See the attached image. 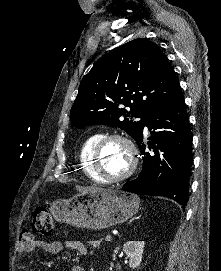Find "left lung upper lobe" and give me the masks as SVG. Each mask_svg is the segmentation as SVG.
I'll list each match as a JSON object with an SVG mask.
<instances>
[{"label": "left lung upper lobe", "mask_w": 221, "mask_h": 271, "mask_svg": "<svg viewBox=\"0 0 221 271\" xmlns=\"http://www.w3.org/2000/svg\"><path fill=\"white\" fill-rule=\"evenodd\" d=\"M178 87L159 46L146 38L132 40L101 57L83 77L71 108V124L119 127L136 141L147 117L166 104ZM138 117L140 121L132 120Z\"/></svg>", "instance_id": "obj_1"}]
</instances>
